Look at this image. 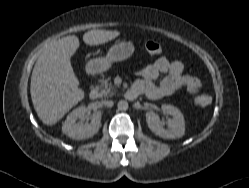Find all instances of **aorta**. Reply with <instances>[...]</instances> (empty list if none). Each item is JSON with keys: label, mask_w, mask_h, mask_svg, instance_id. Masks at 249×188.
Masks as SVG:
<instances>
[{"label": "aorta", "mask_w": 249, "mask_h": 188, "mask_svg": "<svg viewBox=\"0 0 249 188\" xmlns=\"http://www.w3.org/2000/svg\"><path fill=\"white\" fill-rule=\"evenodd\" d=\"M117 106L119 110L126 111L128 109V102L125 100H120Z\"/></svg>", "instance_id": "obj_1"}]
</instances>
